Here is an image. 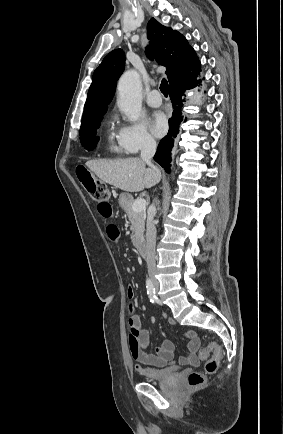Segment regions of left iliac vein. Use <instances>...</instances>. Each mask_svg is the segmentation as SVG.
Listing matches in <instances>:
<instances>
[{
	"label": "left iliac vein",
	"instance_id": "left-iliac-vein-1",
	"mask_svg": "<svg viewBox=\"0 0 283 434\" xmlns=\"http://www.w3.org/2000/svg\"><path fill=\"white\" fill-rule=\"evenodd\" d=\"M155 287H156V289L158 288V284L157 283H155Z\"/></svg>",
	"mask_w": 283,
	"mask_h": 434
}]
</instances>
